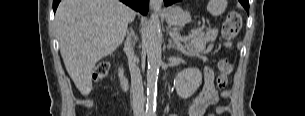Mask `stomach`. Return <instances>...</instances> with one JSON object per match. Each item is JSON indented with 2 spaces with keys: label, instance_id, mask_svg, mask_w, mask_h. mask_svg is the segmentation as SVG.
Listing matches in <instances>:
<instances>
[{
  "label": "stomach",
  "instance_id": "0dacf381",
  "mask_svg": "<svg viewBox=\"0 0 305 116\" xmlns=\"http://www.w3.org/2000/svg\"><path fill=\"white\" fill-rule=\"evenodd\" d=\"M166 21L173 26L183 27L190 21V16L180 7H171L164 12Z\"/></svg>",
  "mask_w": 305,
  "mask_h": 116
}]
</instances>
